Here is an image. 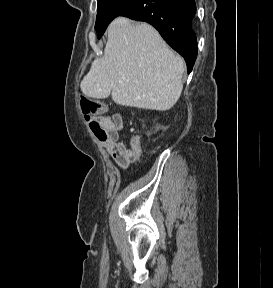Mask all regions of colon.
Masks as SVG:
<instances>
[{
    "mask_svg": "<svg viewBox=\"0 0 273 288\" xmlns=\"http://www.w3.org/2000/svg\"><path fill=\"white\" fill-rule=\"evenodd\" d=\"M81 109L95 136L98 139L106 138V132L99 122L100 117L106 113V104L99 99L82 97Z\"/></svg>",
    "mask_w": 273,
    "mask_h": 288,
    "instance_id": "colon-1",
    "label": "colon"
}]
</instances>
